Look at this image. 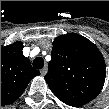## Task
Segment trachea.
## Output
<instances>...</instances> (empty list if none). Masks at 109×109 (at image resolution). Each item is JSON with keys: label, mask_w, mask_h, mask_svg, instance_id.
I'll return each instance as SVG.
<instances>
[{"label": "trachea", "mask_w": 109, "mask_h": 109, "mask_svg": "<svg viewBox=\"0 0 109 109\" xmlns=\"http://www.w3.org/2000/svg\"><path fill=\"white\" fill-rule=\"evenodd\" d=\"M33 65L36 69H41L44 65V61L42 58H36L33 62Z\"/></svg>", "instance_id": "obj_1"}]
</instances>
